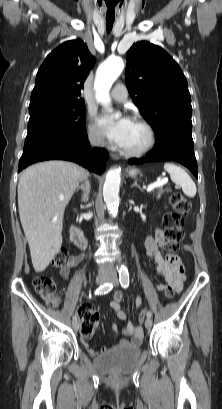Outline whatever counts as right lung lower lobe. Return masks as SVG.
<instances>
[{
  "instance_id": "obj_1",
  "label": "right lung lower lobe",
  "mask_w": 222,
  "mask_h": 409,
  "mask_svg": "<svg viewBox=\"0 0 222 409\" xmlns=\"http://www.w3.org/2000/svg\"><path fill=\"white\" fill-rule=\"evenodd\" d=\"M87 136L72 149L57 147H37L30 151L23 152L18 172L28 165L51 159H61L76 162L91 171L101 174L105 171L108 152L101 148H94L91 151Z\"/></svg>"
}]
</instances>
